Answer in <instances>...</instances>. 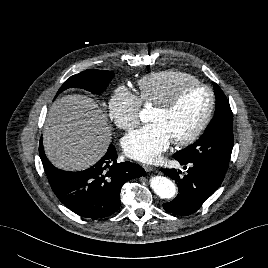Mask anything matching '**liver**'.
<instances>
[{"mask_svg": "<svg viewBox=\"0 0 268 268\" xmlns=\"http://www.w3.org/2000/svg\"><path fill=\"white\" fill-rule=\"evenodd\" d=\"M110 142L107 117L92 98L66 95L50 107L43 145L54 166L66 171L87 169L106 153Z\"/></svg>", "mask_w": 268, "mask_h": 268, "instance_id": "1", "label": "liver"}]
</instances>
